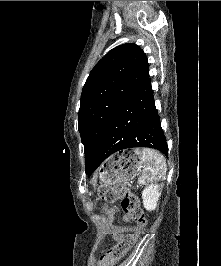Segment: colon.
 <instances>
[{
    "mask_svg": "<svg viewBox=\"0 0 221 266\" xmlns=\"http://www.w3.org/2000/svg\"><path fill=\"white\" fill-rule=\"evenodd\" d=\"M98 195L106 203H114L120 200V207L124 213V220L129 224L136 225L140 231L147 226L144 212L139 207L137 198L130 193H125L122 186H101ZM137 233L127 234L122 237L113 247L109 248L102 256L98 266H112L119 261L129 248L134 244Z\"/></svg>",
    "mask_w": 221,
    "mask_h": 266,
    "instance_id": "5ec220e1",
    "label": "colon"
}]
</instances>
